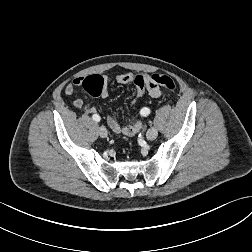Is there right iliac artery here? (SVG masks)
<instances>
[{"label": "right iliac artery", "mask_w": 252, "mask_h": 252, "mask_svg": "<svg viewBox=\"0 0 252 252\" xmlns=\"http://www.w3.org/2000/svg\"><path fill=\"white\" fill-rule=\"evenodd\" d=\"M92 118L96 122H99L101 120V118H100V116L98 114L93 115Z\"/></svg>", "instance_id": "82829eb1"}]
</instances>
